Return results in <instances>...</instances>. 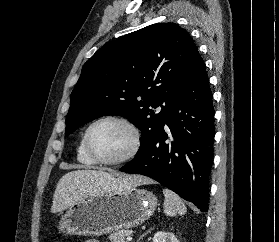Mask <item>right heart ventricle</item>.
Returning <instances> with one entry per match:
<instances>
[{
  "instance_id": "1",
  "label": "right heart ventricle",
  "mask_w": 279,
  "mask_h": 242,
  "mask_svg": "<svg viewBox=\"0 0 279 242\" xmlns=\"http://www.w3.org/2000/svg\"><path fill=\"white\" fill-rule=\"evenodd\" d=\"M76 158L77 161L85 166H93L95 162L87 155L85 148H84V136L81 137L76 151Z\"/></svg>"
}]
</instances>
